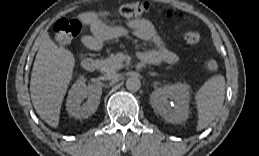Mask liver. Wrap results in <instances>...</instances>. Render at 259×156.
Returning a JSON list of instances; mask_svg holds the SVG:
<instances>
[{"label": "liver", "instance_id": "obj_1", "mask_svg": "<svg viewBox=\"0 0 259 156\" xmlns=\"http://www.w3.org/2000/svg\"><path fill=\"white\" fill-rule=\"evenodd\" d=\"M75 57L58 47L45 33L34 61L30 95L38 115L51 127H58L61 105L72 80Z\"/></svg>", "mask_w": 259, "mask_h": 156}]
</instances>
